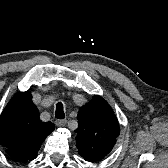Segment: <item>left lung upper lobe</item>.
I'll list each match as a JSON object with an SVG mask.
<instances>
[{"instance_id":"1","label":"left lung upper lobe","mask_w":168,"mask_h":168,"mask_svg":"<svg viewBox=\"0 0 168 168\" xmlns=\"http://www.w3.org/2000/svg\"><path fill=\"white\" fill-rule=\"evenodd\" d=\"M75 132L78 153L86 161H98L115 145L119 123L109 104L102 97L94 96L81 107Z\"/></svg>"}]
</instances>
